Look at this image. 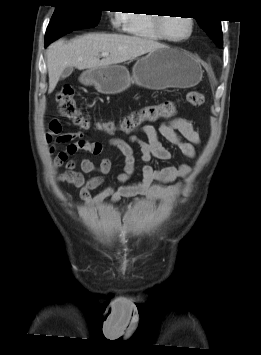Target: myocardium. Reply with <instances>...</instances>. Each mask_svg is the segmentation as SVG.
I'll list each match as a JSON object with an SVG mask.
<instances>
[{
  "label": "myocardium",
  "instance_id": "obj_1",
  "mask_svg": "<svg viewBox=\"0 0 261 355\" xmlns=\"http://www.w3.org/2000/svg\"><path fill=\"white\" fill-rule=\"evenodd\" d=\"M185 18L189 21V25H190V30L187 36L183 37V38H179V39H174L169 37L165 31H164V17L158 16L155 17V27L158 31V33L161 35L162 39L168 41V42H172V43H180L183 41L188 40L189 38H191V36L194 33V28H195V20L190 17V16H185Z\"/></svg>",
  "mask_w": 261,
  "mask_h": 355
}]
</instances>
